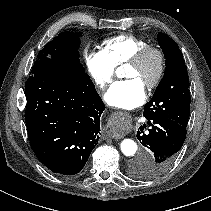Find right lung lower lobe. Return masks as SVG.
<instances>
[{
	"label": "right lung lower lobe",
	"mask_w": 211,
	"mask_h": 211,
	"mask_svg": "<svg viewBox=\"0 0 211 211\" xmlns=\"http://www.w3.org/2000/svg\"><path fill=\"white\" fill-rule=\"evenodd\" d=\"M38 54L25 85L30 145L54 173L75 175L100 135L105 105L90 77L58 54Z\"/></svg>",
	"instance_id": "right-lung-lower-lobe-1"
}]
</instances>
